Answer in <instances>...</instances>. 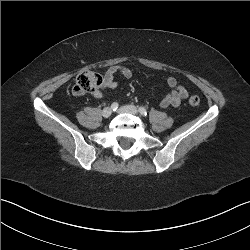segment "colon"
I'll return each mask as SVG.
<instances>
[{
	"instance_id": "colon-1",
	"label": "colon",
	"mask_w": 250,
	"mask_h": 250,
	"mask_svg": "<svg viewBox=\"0 0 250 250\" xmlns=\"http://www.w3.org/2000/svg\"><path fill=\"white\" fill-rule=\"evenodd\" d=\"M101 84L102 78L98 73L89 70L83 71L76 76L72 91L76 95H82L95 91ZM189 103L192 106H198L200 99L198 96H191Z\"/></svg>"
}]
</instances>
